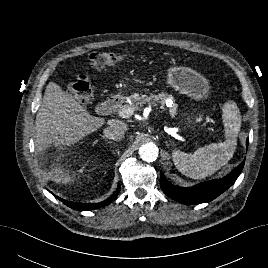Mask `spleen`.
<instances>
[{"instance_id":"obj_1","label":"spleen","mask_w":268,"mask_h":268,"mask_svg":"<svg viewBox=\"0 0 268 268\" xmlns=\"http://www.w3.org/2000/svg\"><path fill=\"white\" fill-rule=\"evenodd\" d=\"M222 112L225 142L211 143L189 154L179 150L173 151L174 164L185 176L203 179L214 174L233 157L241 127L240 111L234 101H228L224 104Z\"/></svg>"}]
</instances>
